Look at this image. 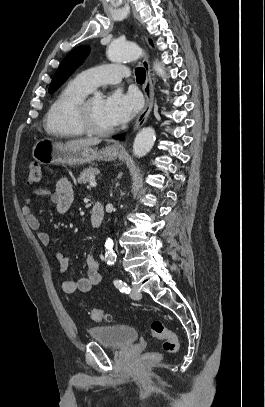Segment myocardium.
Segmentation results:
<instances>
[{"label": "myocardium", "instance_id": "myocardium-1", "mask_svg": "<svg viewBox=\"0 0 265 407\" xmlns=\"http://www.w3.org/2000/svg\"><path fill=\"white\" fill-rule=\"evenodd\" d=\"M92 97H85L78 102L73 109V118L76 125L87 135L95 137H105L113 133L114 129H100L96 127L92 120L90 103Z\"/></svg>", "mask_w": 265, "mask_h": 407}]
</instances>
